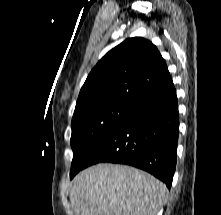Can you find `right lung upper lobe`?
I'll list each match as a JSON object with an SVG mask.
<instances>
[{
  "instance_id": "1",
  "label": "right lung upper lobe",
  "mask_w": 221,
  "mask_h": 215,
  "mask_svg": "<svg viewBox=\"0 0 221 215\" xmlns=\"http://www.w3.org/2000/svg\"><path fill=\"white\" fill-rule=\"evenodd\" d=\"M171 83L165 60L156 46L141 37L128 38L92 69L76 107L108 100L135 104Z\"/></svg>"
}]
</instances>
